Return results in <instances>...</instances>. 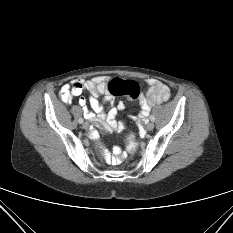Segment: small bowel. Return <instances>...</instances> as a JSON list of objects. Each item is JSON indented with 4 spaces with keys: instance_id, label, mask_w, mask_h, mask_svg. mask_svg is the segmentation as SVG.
Returning a JSON list of instances; mask_svg holds the SVG:
<instances>
[{
    "instance_id": "small-bowel-1",
    "label": "small bowel",
    "mask_w": 233,
    "mask_h": 233,
    "mask_svg": "<svg viewBox=\"0 0 233 233\" xmlns=\"http://www.w3.org/2000/svg\"><path fill=\"white\" fill-rule=\"evenodd\" d=\"M147 83L149 89L139 96L141 110L136 118L138 123L148 116L153 105L166 102L171 95L170 88L163 82L148 79ZM84 90L90 93L89 103L92 109H88L85 98H79L78 104L83 108L84 116L89 120L102 123L108 129H122L123 123L117 121L116 116L123 110L124 103L119 102L114 105V96L108 90V77L98 76L91 80L75 79L62 86L60 98L63 102L70 104ZM99 95L103 96L102 102L99 101ZM105 157L111 163H118L123 159L124 152L121 148L115 147L112 153L106 152Z\"/></svg>"
}]
</instances>
